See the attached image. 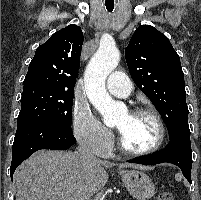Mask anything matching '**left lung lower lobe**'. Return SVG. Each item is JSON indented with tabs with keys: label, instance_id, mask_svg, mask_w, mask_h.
<instances>
[{
	"label": "left lung lower lobe",
	"instance_id": "1",
	"mask_svg": "<svg viewBox=\"0 0 201 200\" xmlns=\"http://www.w3.org/2000/svg\"><path fill=\"white\" fill-rule=\"evenodd\" d=\"M131 163L155 165L172 163L177 165L185 178L191 183L192 150L190 132H181L170 138L168 145L160 152L129 160Z\"/></svg>",
	"mask_w": 201,
	"mask_h": 200
}]
</instances>
